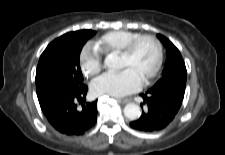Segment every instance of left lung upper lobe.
Wrapping results in <instances>:
<instances>
[{"label":"left lung upper lobe","mask_w":225,"mask_h":155,"mask_svg":"<svg viewBox=\"0 0 225 155\" xmlns=\"http://www.w3.org/2000/svg\"><path fill=\"white\" fill-rule=\"evenodd\" d=\"M158 38L166 48V64L162 72V78L151 89H185L187 71L179 50L163 35H158Z\"/></svg>","instance_id":"left-lung-upper-lobe-1"}]
</instances>
